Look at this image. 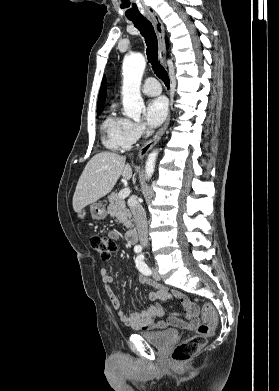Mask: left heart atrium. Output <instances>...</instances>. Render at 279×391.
I'll return each instance as SVG.
<instances>
[{
	"label": "left heart atrium",
	"instance_id": "39dd6f15",
	"mask_svg": "<svg viewBox=\"0 0 279 391\" xmlns=\"http://www.w3.org/2000/svg\"><path fill=\"white\" fill-rule=\"evenodd\" d=\"M168 103L164 97L151 99L145 107L144 116L147 124L154 128L160 125L167 116Z\"/></svg>",
	"mask_w": 279,
	"mask_h": 391
}]
</instances>
